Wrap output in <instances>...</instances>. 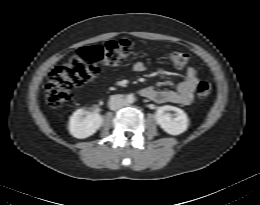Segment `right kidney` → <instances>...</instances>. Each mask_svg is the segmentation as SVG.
I'll use <instances>...</instances> for the list:
<instances>
[{
    "instance_id": "obj_1",
    "label": "right kidney",
    "mask_w": 260,
    "mask_h": 205,
    "mask_svg": "<svg viewBox=\"0 0 260 205\" xmlns=\"http://www.w3.org/2000/svg\"><path fill=\"white\" fill-rule=\"evenodd\" d=\"M102 123L103 118L97 112L87 113L84 109H78L70 117L69 132L75 138L84 139L93 135Z\"/></svg>"
}]
</instances>
